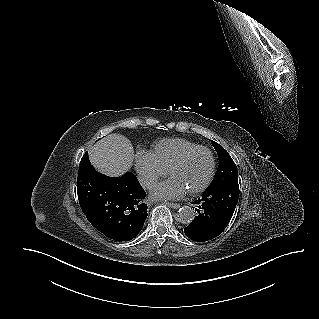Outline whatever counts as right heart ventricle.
I'll use <instances>...</instances> for the list:
<instances>
[{
  "mask_svg": "<svg viewBox=\"0 0 319 319\" xmlns=\"http://www.w3.org/2000/svg\"><path fill=\"white\" fill-rule=\"evenodd\" d=\"M196 146L199 145L185 138H168L155 142L149 152L162 168L168 170L183 152Z\"/></svg>",
  "mask_w": 319,
  "mask_h": 319,
  "instance_id": "1",
  "label": "right heart ventricle"
}]
</instances>
